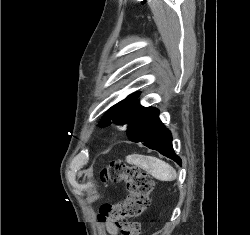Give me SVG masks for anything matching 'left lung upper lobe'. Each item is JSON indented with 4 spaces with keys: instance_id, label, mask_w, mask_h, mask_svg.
<instances>
[{
    "instance_id": "1",
    "label": "left lung upper lobe",
    "mask_w": 250,
    "mask_h": 235,
    "mask_svg": "<svg viewBox=\"0 0 250 235\" xmlns=\"http://www.w3.org/2000/svg\"><path fill=\"white\" fill-rule=\"evenodd\" d=\"M139 95L140 93L136 92L132 95H129L125 100L111 107L108 110V113H106V115L103 117L99 125L104 127L110 125V123L112 122L120 125H127L130 108L139 97Z\"/></svg>"
}]
</instances>
